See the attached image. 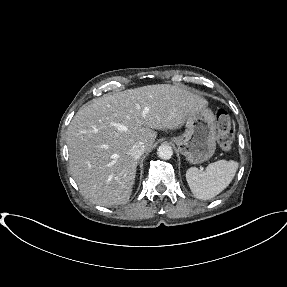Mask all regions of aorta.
<instances>
[{
  "label": "aorta",
  "mask_w": 287,
  "mask_h": 287,
  "mask_svg": "<svg viewBox=\"0 0 287 287\" xmlns=\"http://www.w3.org/2000/svg\"><path fill=\"white\" fill-rule=\"evenodd\" d=\"M157 155L163 160H168L172 157L173 150L171 146L162 144L157 149Z\"/></svg>",
  "instance_id": "1"
}]
</instances>
